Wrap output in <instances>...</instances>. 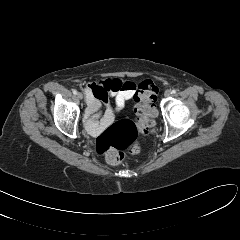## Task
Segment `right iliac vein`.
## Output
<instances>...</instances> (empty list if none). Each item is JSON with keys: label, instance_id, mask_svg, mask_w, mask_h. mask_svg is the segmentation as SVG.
I'll list each match as a JSON object with an SVG mask.
<instances>
[{"label": "right iliac vein", "instance_id": "1", "mask_svg": "<svg viewBox=\"0 0 240 240\" xmlns=\"http://www.w3.org/2000/svg\"><path fill=\"white\" fill-rule=\"evenodd\" d=\"M77 97H78V99L82 100L83 99V94L81 92H78Z\"/></svg>", "mask_w": 240, "mask_h": 240}]
</instances>
